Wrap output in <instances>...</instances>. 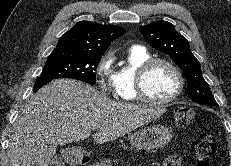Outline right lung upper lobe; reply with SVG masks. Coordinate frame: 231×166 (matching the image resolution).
<instances>
[{"mask_svg": "<svg viewBox=\"0 0 231 166\" xmlns=\"http://www.w3.org/2000/svg\"><path fill=\"white\" fill-rule=\"evenodd\" d=\"M125 32L123 28L116 25L80 21L60 37L55 50L68 49L81 53L102 55L111 42Z\"/></svg>", "mask_w": 231, "mask_h": 166, "instance_id": "1", "label": "right lung upper lobe"}]
</instances>
